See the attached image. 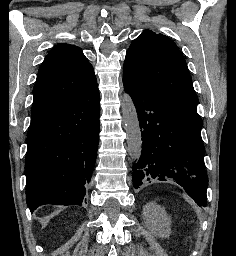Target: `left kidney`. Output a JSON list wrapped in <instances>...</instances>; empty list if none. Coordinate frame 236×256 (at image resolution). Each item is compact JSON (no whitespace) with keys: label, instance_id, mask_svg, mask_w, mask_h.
Instances as JSON below:
<instances>
[{"label":"left kidney","instance_id":"1","mask_svg":"<svg viewBox=\"0 0 236 256\" xmlns=\"http://www.w3.org/2000/svg\"><path fill=\"white\" fill-rule=\"evenodd\" d=\"M143 220L152 236L169 238L171 222L165 212V208L157 206L156 202H149L143 208Z\"/></svg>","mask_w":236,"mask_h":256}]
</instances>
